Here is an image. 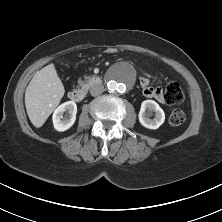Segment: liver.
<instances>
[{
    "label": "liver",
    "instance_id": "obj_1",
    "mask_svg": "<svg viewBox=\"0 0 222 222\" xmlns=\"http://www.w3.org/2000/svg\"><path fill=\"white\" fill-rule=\"evenodd\" d=\"M64 86L54 64L37 71L25 91V107L31 123L39 128L60 103Z\"/></svg>",
    "mask_w": 222,
    "mask_h": 222
}]
</instances>
